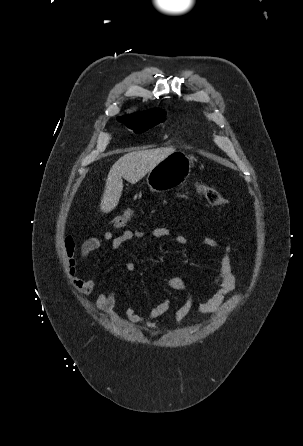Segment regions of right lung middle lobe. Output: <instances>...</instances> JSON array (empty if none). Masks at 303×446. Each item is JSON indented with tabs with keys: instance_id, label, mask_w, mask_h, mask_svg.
Listing matches in <instances>:
<instances>
[{
	"instance_id": "right-lung-middle-lobe-1",
	"label": "right lung middle lobe",
	"mask_w": 303,
	"mask_h": 446,
	"mask_svg": "<svg viewBox=\"0 0 303 446\" xmlns=\"http://www.w3.org/2000/svg\"><path fill=\"white\" fill-rule=\"evenodd\" d=\"M164 119L165 112L162 110H157L146 115L123 117L122 121L128 128L133 129L136 133H142L148 130L150 127L163 122Z\"/></svg>"
}]
</instances>
